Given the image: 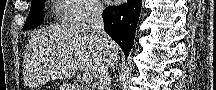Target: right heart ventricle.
I'll return each instance as SVG.
<instances>
[{
    "instance_id": "1",
    "label": "right heart ventricle",
    "mask_w": 216,
    "mask_h": 90,
    "mask_svg": "<svg viewBox=\"0 0 216 90\" xmlns=\"http://www.w3.org/2000/svg\"><path fill=\"white\" fill-rule=\"evenodd\" d=\"M59 13H71V9H59Z\"/></svg>"
}]
</instances>
